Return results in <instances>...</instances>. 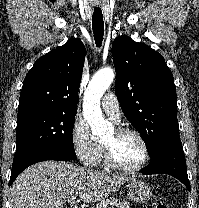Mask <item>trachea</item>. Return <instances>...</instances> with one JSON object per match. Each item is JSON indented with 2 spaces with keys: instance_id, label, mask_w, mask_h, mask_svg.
<instances>
[{
  "instance_id": "obj_1",
  "label": "trachea",
  "mask_w": 199,
  "mask_h": 208,
  "mask_svg": "<svg viewBox=\"0 0 199 208\" xmlns=\"http://www.w3.org/2000/svg\"><path fill=\"white\" fill-rule=\"evenodd\" d=\"M92 29L96 46L101 47L104 36V21L101 9H94L92 15Z\"/></svg>"
}]
</instances>
